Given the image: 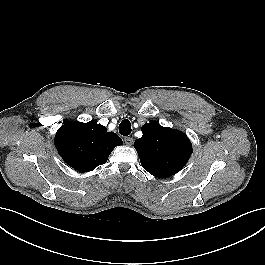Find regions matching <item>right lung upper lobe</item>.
<instances>
[{"instance_id":"1","label":"right lung upper lobe","mask_w":265,"mask_h":265,"mask_svg":"<svg viewBox=\"0 0 265 265\" xmlns=\"http://www.w3.org/2000/svg\"><path fill=\"white\" fill-rule=\"evenodd\" d=\"M114 132L94 121L68 122L59 128L55 146L62 159L80 172H89L106 163L112 150L122 145Z\"/></svg>"}]
</instances>
